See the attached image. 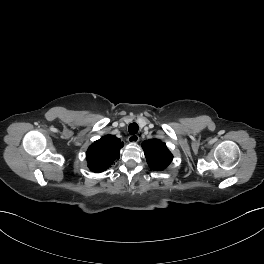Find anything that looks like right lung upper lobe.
<instances>
[{
    "label": "right lung upper lobe",
    "mask_w": 264,
    "mask_h": 264,
    "mask_svg": "<svg viewBox=\"0 0 264 264\" xmlns=\"http://www.w3.org/2000/svg\"><path fill=\"white\" fill-rule=\"evenodd\" d=\"M123 142L113 135H106L95 141L87 150L88 167L95 173L109 168L116 159H119Z\"/></svg>",
    "instance_id": "1"
}]
</instances>
